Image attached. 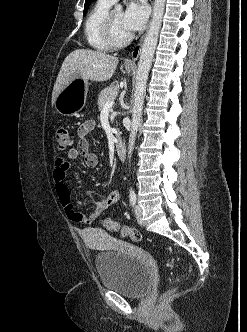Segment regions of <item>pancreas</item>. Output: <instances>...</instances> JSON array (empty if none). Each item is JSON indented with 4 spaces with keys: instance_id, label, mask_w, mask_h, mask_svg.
Here are the masks:
<instances>
[{
    "instance_id": "pancreas-1",
    "label": "pancreas",
    "mask_w": 247,
    "mask_h": 332,
    "mask_svg": "<svg viewBox=\"0 0 247 332\" xmlns=\"http://www.w3.org/2000/svg\"><path fill=\"white\" fill-rule=\"evenodd\" d=\"M119 86L108 87L100 92L98 96V108L101 110L106 102L114 101L118 94ZM119 137V135H117Z\"/></svg>"
}]
</instances>
